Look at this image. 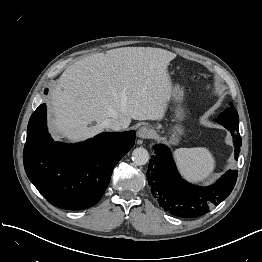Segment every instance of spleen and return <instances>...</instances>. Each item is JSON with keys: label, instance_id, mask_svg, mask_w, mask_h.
<instances>
[{"label": "spleen", "instance_id": "spleen-1", "mask_svg": "<svg viewBox=\"0 0 262 262\" xmlns=\"http://www.w3.org/2000/svg\"><path fill=\"white\" fill-rule=\"evenodd\" d=\"M174 157L180 173L192 182H203L210 178L216 161L205 147L179 148Z\"/></svg>", "mask_w": 262, "mask_h": 262}]
</instances>
